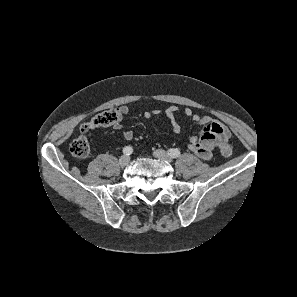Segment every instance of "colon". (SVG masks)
I'll use <instances>...</instances> for the list:
<instances>
[{
    "label": "colon",
    "instance_id": "colon-1",
    "mask_svg": "<svg viewBox=\"0 0 297 297\" xmlns=\"http://www.w3.org/2000/svg\"><path fill=\"white\" fill-rule=\"evenodd\" d=\"M120 115L118 110L111 109L103 111L95 115L89 122L81 125V135L74 139L70 144V153L76 158H85L90 153V144L88 139L83 135L97 127L111 126L118 122ZM219 151L222 157L228 158L232 154V146L228 143H222L219 146Z\"/></svg>",
    "mask_w": 297,
    "mask_h": 297
}]
</instances>
